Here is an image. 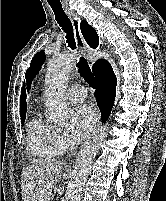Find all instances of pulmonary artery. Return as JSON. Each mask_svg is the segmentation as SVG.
Returning <instances> with one entry per match:
<instances>
[{"instance_id": "e3ab8cb5", "label": "pulmonary artery", "mask_w": 166, "mask_h": 201, "mask_svg": "<svg viewBox=\"0 0 166 201\" xmlns=\"http://www.w3.org/2000/svg\"><path fill=\"white\" fill-rule=\"evenodd\" d=\"M86 96V89L79 85L72 86L67 92L68 99L73 102H82L86 99Z\"/></svg>"}]
</instances>
